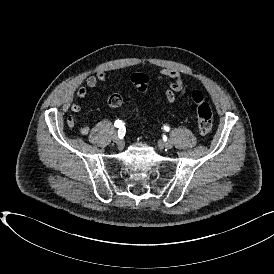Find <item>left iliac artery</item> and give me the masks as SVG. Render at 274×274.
I'll use <instances>...</instances> for the list:
<instances>
[{
    "mask_svg": "<svg viewBox=\"0 0 274 274\" xmlns=\"http://www.w3.org/2000/svg\"><path fill=\"white\" fill-rule=\"evenodd\" d=\"M164 130L168 132L170 131V128L168 126H164Z\"/></svg>",
    "mask_w": 274,
    "mask_h": 274,
    "instance_id": "obj_1",
    "label": "left iliac artery"
}]
</instances>
